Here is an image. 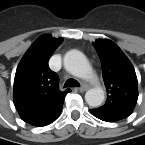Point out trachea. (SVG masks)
<instances>
[{"label": "trachea", "instance_id": "trachea-1", "mask_svg": "<svg viewBox=\"0 0 145 145\" xmlns=\"http://www.w3.org/2000/svg\"><path fill=\"white\" fill-rule=\"evenodd\" d=\"M80 84L78 81H76L75 79H68L65 84L64 87H79Z\"/></svg>", "mask_w": 145, "mask_h": 145}]
</instances>
